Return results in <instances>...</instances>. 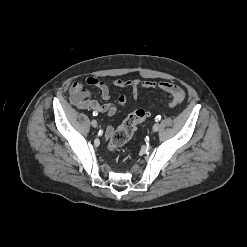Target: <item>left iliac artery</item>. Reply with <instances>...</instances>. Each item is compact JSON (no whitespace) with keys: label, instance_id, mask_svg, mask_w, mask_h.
<instances>
[{"label":"left iliac artery","instance_id":"1","mask_svg":"<svg viewBox=\"0 0 247 247\" xmlns=\"http://www.w3.org/2000/svg\"><path fill=\"white\" fill-rule=\"evenodd\" d=\"M160 120H161V116L160 115L156 116L155 121L157 122V121H160Z\"/></svg>","mask_w":247,"mask_h":247}]
</instances>
